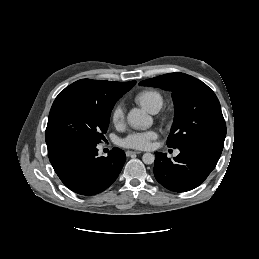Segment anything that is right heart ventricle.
<instances>
[{"mask_svg": "<svg viewBox=\"0 0 259 259\" xmlns=\"http://www.w3.org/2000/svg\"><path fill=\"white\" fill-rule=\"evenodd\" d=\"M135 101L147 111L156 113L163 106L164 97L156 89H144L135 96Z\"/></svg>", "mask_w": 259, "mask_h": 259, "instance_id": "right-heart-ventricle-1", "label": "right heart ventricle"}]
</instances>
